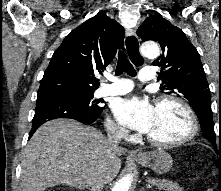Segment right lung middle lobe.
I'll return each instance as SVG.
<instances>
[{"label": "right lung middle lobe", "mask_w": 221, "mask_h": 191, "mask_svg": "<svg viewBox=\"0 0 221 191\" xmlns=\"http://www.w3.org/2000/svg\"><path fill=\"white\" fill-rule=\"evenodd\" d=\"M61 95L67 96L82 112L89 115L99 114L104 108L100 106L101 103H104L103 101H92L93 92H64Z\"/></svg>", "instance_id": "obj_1"}]
</instances>
